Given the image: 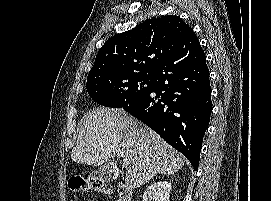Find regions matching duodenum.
I'll use <instances>...</instances> for the list:
<instances>
[{
  "label": "duodenum",
  "instance_id": "obj_1",
  "mask_svg": "<svg viewBox=\"0 0 271 201\" xmlns=\"http://www.w3.org/2000/svg\"><path fill=\"white\" fill-rule=\"evenodd\" d=\"M117 201H132V192L128 186L124 184L117 186Z\"/></svg>",
  "mask_w": 271,
  "mask_h": 201
}]
</instances>
